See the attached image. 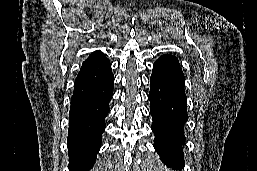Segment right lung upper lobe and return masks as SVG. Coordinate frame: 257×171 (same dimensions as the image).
Masks as SVG:
<instances>
[{
	"label": "right lung upper lobe",
	"mask_w": 257,
	"mask_h": 171,
	"mask_svg": "<svg viewBox=\"0 0 257 171\" xmlns=\"http://www.w3.org/2000/svg\"><path fill=\"white\" fill-rule=\"evenodd\" d=\"M105 58L106 57L102 52L96 51L93 52L83 63L94 62Z\"/></svg>",
	"instance_id": "right-lung-upper-lobe-1"
}]
</instances>
